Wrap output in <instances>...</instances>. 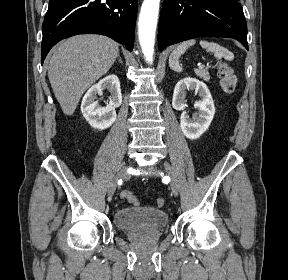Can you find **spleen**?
Instances as JSON below:
<instances>
[{
  "mask_svg": "<svg viewBox=\"0 0 288 280\" xmlns=\"http://www.w3.org/2000/svg\"><path fill=\"white\" fill-rule=\"evenodd\" d=\"M196 43L194 39L184 41L177 45L172 51L169 57V66L172 70L176 72H182L183 68L179 63V57L185 53V51ZM200 46L206 49L208 52L214 54L217 58H224L225 60L231 61L234 59V54L230 52L227 48L220 46L214 42H208L206 40L200 41Z\"/></svg>",
  "mask_w": 288,
  "mask_h": 280,
  "instance_id": "spleen-1",
  "label": "spleen"
}]
</instances>
